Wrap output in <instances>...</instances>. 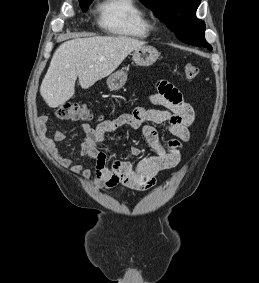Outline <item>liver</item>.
Returning <instances> with one entry per match:
<instances>
[{"mask_svg":"<svg viewBox=\"0 0 259 283\" xmlns=\"http://www.w3.org/2000/svg\"><path fill=\"white\" fill-rule=\"evenodd\" d=\"M144 41L126 36L75 38L54 52L40 86L49 107L57 108L75 94V82L88 89L115 71L123 60Z\"/></svg>","mask_w":259,"mask_h":283,"instance_id":"liver-1","label":"liver"}]
</instances>
